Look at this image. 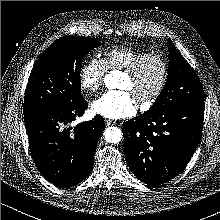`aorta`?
<instances>
[{
    "mask_svg": "<svg viewBox=\"0 0 220 220\" xmlns=\"http://www.w3.org/2000/svg\"><path fill=\"white\" fill-rule=\"evenodd\" d=\"M104 83L108 89H114L117 86L116 73L111 72L105 75ZM105 139L108 143H119L122 140V132L118 127H108L104 133Z\"/></svg>",
    "mask_w": 220,
    "mask_h": 220,
    "instance_id": "obj_1",
    "label": "aorta"
}]
</instances>
